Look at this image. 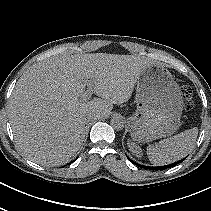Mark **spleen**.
<instances>
[{"instance_id": "1", "label": "spleen", "mask_w": 211, "mask_h": 211, "mask_svg": "<svg viewBox=\"0 0 211 211\" xmlns=\"http://www.w3.org/2000/svg\"><path fill=\"white\" fill-rule=\"evenodd\" d=\"M197 135L198 128L194 127L149 145L147 147L149 161L155 165H165L184 158L193 150Z\"/></svg>"}]
</instances>
